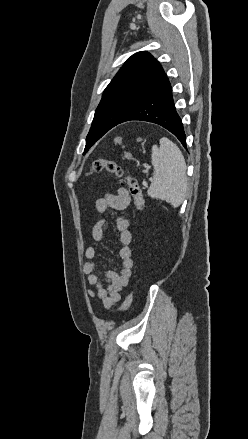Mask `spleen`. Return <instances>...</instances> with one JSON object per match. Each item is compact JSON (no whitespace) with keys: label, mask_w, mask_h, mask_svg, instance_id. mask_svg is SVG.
Segmentation results:
<instances>
[{"label":"spleen","mask_w":248,"mask_h":439,"mask_svg":"<svg viewBox=\"0 0 248 439\" xmlns=\"http://www.w3.org/2000/svg\"><path fill=\"white\" fill-rule=\"evenodd\" d=\"M159 143V148L152 147L154 174L147 194L176 208L182 204L187 192L185 159L178 146L168 138L162 137Z\"/></svg>","instance_id":"spleen-1"}]
</instances>
